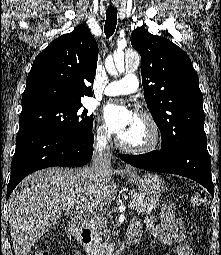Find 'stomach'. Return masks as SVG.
Returning a JSON list of instances; mask_svg holds the SVG:
<instances>
[{
    "instance_id": "0dacf381",
    "label": "stomach",
    "mask_w": 221,
    "mask_h": 255,
    "mask_svg": "<svg viewBox=\"0 0 221 255\" xmlns=\"http://www.w3.org/2000/svg\"><path fill=\"white\" fill-rule=\"evenodd\" d=\"M129 181L137 186L140 193L151 199L159 197L166 190L164 180L156 174H144L141 176L131 174Z\"/></svg>"
}]
</instances>
